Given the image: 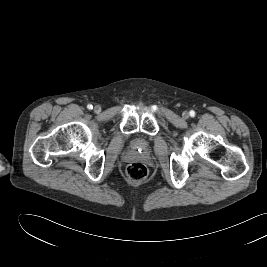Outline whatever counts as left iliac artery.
<instances>
[{"mask_svg":"<svg viewBox=\"0 0 267 267\" xmlns=\"http://www.w3.org/2000/svg\"><path fill=\"white\" fill-rule=\"evenodd\" d=\"M189 115H190L191 117H195V111L191 110V111L189 112Z\"/></svg>","mask_w":267,"mask_h":267,"instance_id":"left-iliac-artery-1","label":"left iliac artery"}]
</instances>
